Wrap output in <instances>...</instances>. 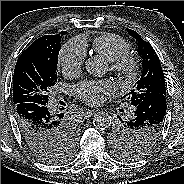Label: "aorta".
Instances as JSON below:
<instances>
[{
	"label": "aorta",
	"mask_w": 184,
	"mask_h": 184,
	"mask_svg": "<svg viewBox=\"0 0 184 184\" xmlns=\"http://www.w3.org/2000/svg\"><path fill=\"white\" fill-rule=\"evenodd\" d=\"M86 71L96 77L105 74L104 65L94 57L85 61ZM112 117L107 112H98L93 116V125L96 129L105 130L111 126Z\"/></svg>",
	"instance_id": "762f6f07"
}]
</instances>
